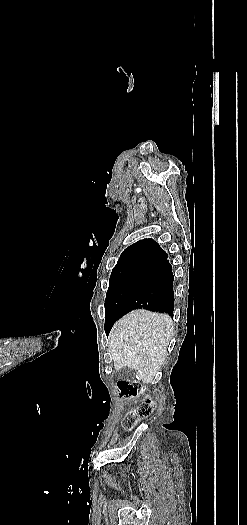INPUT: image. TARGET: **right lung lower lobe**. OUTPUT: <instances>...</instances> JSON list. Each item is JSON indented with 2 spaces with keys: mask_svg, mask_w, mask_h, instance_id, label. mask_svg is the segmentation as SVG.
<instances>
[{
  "mask_svg": "<svg viewBox=\"0 0 247 525\" xmlns=\"http://www.w3.org/2000/svg\"><path fill=\"white\" fill-rule=\"evenodd\" d=\"M167 258L166 252L156 257L147 272L138 280L125 298L119 309L120 317L134 309H147L173 316L174 276L172 266ZM111 328L105 327L107 335Z\"/></svg>",
  "mask_w": 247,
  "mask_h": 525,
  "instance_id": "98d812e1",
  "label": "right lung lower lobe"
}]
</instances>
